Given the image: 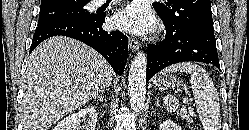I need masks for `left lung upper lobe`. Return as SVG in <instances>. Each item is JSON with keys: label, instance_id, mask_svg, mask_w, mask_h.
<instances>
[{"label": "left lung upper lobe", "instance_id": "left-lung-upper-lobe-1", "mask_svg": "<svg viewBox=\"0 0 249 130\" xmlns=\"http://www.w3.org/2000/svg\"><path fill=\"white\" fill-rule=\"evenodd\" d=\"M153 7L163 21L214 32L210 0H168Z\"/></svg>", "mask_w": 249, "mask_h": 130}]
</instances>
